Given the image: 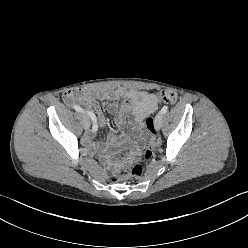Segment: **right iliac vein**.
<instances>
[{
	"label": "right iliac vein",
	"instance_id": "1",
	"mask_svg": "<svg viewBox=\"0 0 248 248\" xmlns=\"http://www.w3.org/2000/svg\"><path fill=\"white\" fill-rule=\"evenodd\" d=\"M82 116H83V126L86 130H88L90 127L89 117L86 114H83Z\"/></svg>",
	"mask_w": 248,
	"mask_h": 248
}]
</instances>
